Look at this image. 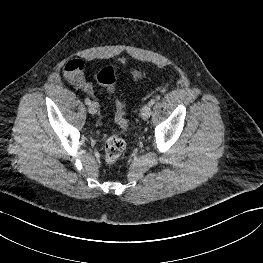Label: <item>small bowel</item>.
<instances>
[{
	"label": "small bowel",
	"instance_id": "small-bowel-1",
	"mask_svg": "<svg viewBox=\"0 0 263 263\" xmlns=\"http://www.w3.org/2000/svg\"><path fill=\"white\" fill-rule=\"evenodd\" d=\"M84 67L85 63L83 60L72 59L65 64L63 74L67 81L77 89L86 94H92L93 88L85 79Z\"/></svg>",
	"mask_w": 263,
	"mask_h": 263
}]
</instances>
